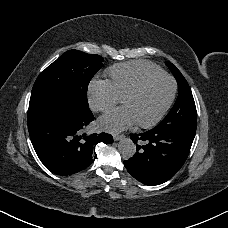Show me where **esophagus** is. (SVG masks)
Listing matches in <instances>:
<instances>
[{
    "label": "esophagus",
    "instance_id": "34e87169",
    "mask_svg": "<svg viewBox=\"0 0 228 228\" xmlns=\"http://www.w3.org/2000/svg\"><path fill=\"white\" fill-rule=\"evenodd\" d=\"M123 137H124V134H115V135L113 136V139H114L115 141H118V140L122 139Z\"/></svg>",
    "mask_w": 228,
    "mask_h": 228
}]
</instances>
